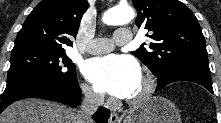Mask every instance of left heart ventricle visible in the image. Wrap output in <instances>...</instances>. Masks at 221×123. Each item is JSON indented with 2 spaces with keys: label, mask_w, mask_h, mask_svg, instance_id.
I'll return each mask as SVG.
<instances>
[{
  "label": "left heart ventricle",
  "mask_w": 221,
  "mask_h": 123,
  "mask_svg": "<svg viewBox=\"0 0 221 123\" xmlns=\"http://www.w3.org/2000/svg\"><path fill=\"white\" fill-rule=\"evenodd\" d=\"M142 89V81L139 79L137 84L135 85L134 89L132 90L131 94L128 96V98L136 96Z\"/></svg>",
  "instance_id": "b2bd125f"
}]
</instances>
